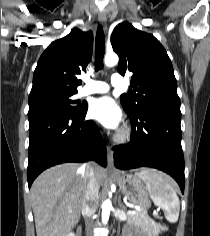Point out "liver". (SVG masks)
Here are the masks:
<instances>
[{
    "label": "liver",
    "mask_w": 210,
    "mask_h": 236,
    "mask_svg": "<svg viewBox=\"0 0 210 236\" xmlns=\"http://www.w3.org/2000/svg\"><path fill=\"white\" fill-rule=\"evenodd\" d=\"M102 185L106 170L94 168ZM87 166L65 163L41 173L30 189L37 236H65L79 219L87 190Z\"/></svg>",
    "instance_id": "obj_1"
}]
</instances>
